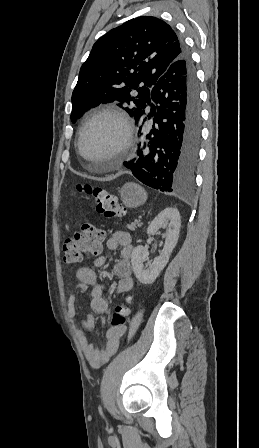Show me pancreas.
I'll use <instances>...</instances> for the list:
<instances>
[{
  "mask_svg": "<svg viewBox=\"0 0 259 448\" xmlns=\"http://www.w3.org/2000/svg\"><path fill=\"white\" fill-rule=\"evenodd\" d=\"M141 226V222H131V224H127L126 228H128V230H131V232H134L135 228H140Z\"/></svg>",
  "mask_w": 259,
  "mask_h": 448,
  "instance_id": "obj_1",
  "label": "pancreas"
}]
</instances>
